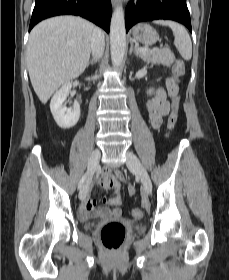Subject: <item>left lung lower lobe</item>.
<instances>
[{
	"label": "left lung lower lobe",
	"mask_w": 229,
	"mask_h": 280,
	"mask_svg": "<svg viewBox=\"0 0 229 280\" xmlns=\"http://www.w3.org/2000/svg\"><path fill=\"white\" fill-rule=\"evenodd\" d=\"M158 19L180 22L192 32L186 0H139L137 5L129 3L125 14L126 32L139 22Z\"/></svg>",
	"instance_id": "left-lung-lower-lobe-1"
}]
</instances>
